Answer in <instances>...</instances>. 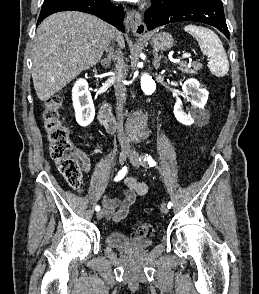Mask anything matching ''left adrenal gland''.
Wrapping results in <instances>:
<instances>
[{
	"label": "left adrenal gland",
	"instance_id": "a2214340",
	"mask_svg": "<svg viewBox=\"0 0 259 294\" xmlns=\"http://www.w3.org/2000/svg\"><path fill=\"white\" fill-rule=\"evenodd\" d=\"M153 55H154V61H153V66L156 70L159 69L160 67V61L162 58H165L164 56H158V53L157 52H153ZM165 62H166V59H165Z\"/></svg>",
	"mask_w": 259,
	"mask_h": 294
}]
</instances>
